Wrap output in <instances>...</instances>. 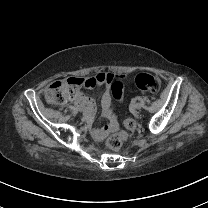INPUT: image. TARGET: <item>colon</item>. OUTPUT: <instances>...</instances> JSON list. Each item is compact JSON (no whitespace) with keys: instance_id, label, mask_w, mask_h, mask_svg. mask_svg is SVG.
I'll return each instance as SVG.
<instances>
[{"instance_id":"obj_1","label":"colon","mask_w":208,"mask_h":208,"mask_svg":"<svg viewBox=\"0 0 208 208\" xmlns=\"http://www.w3.org/2000/svg\"><path fill=\"white\" fill-rule=\"evenodd\" d=\"M113 73H98L97 75L87 79H73V81L63 78L49 85L46 95L50 103L60 106L74 99L76 92L80 88H90L99 83H108L112 97L116 101H122L124 97L125 83L114 78ZM137 88L143 92L153 93L157 90L156 79L146 73H138L135 77ZM122 127L126 130L123 134H114L108 138L107 145L109 148L117 149L121 146L128 132H133L137 128V123L133 119H128L123 122Z\"/></svg>"}]
</instances>
